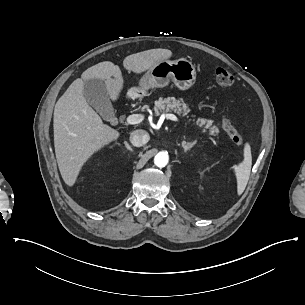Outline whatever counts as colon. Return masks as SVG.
Returning <instances> with one entry per match:
<instances>
[{
  "label": "colon",
  "mask_w": 305,
  "mask_h": 305,
  "mask_svg": "<svg viewBox=\"0 0 305 305\" xmlns=\"http://www.w3.org/2000/svg\"><path fill=\"white\" fill-rule=\"evenodd\" d=\"M216 83L220 87H229L233 83L232 74L224 69L219 68L215 72ZM221 125L225 133L229 136L231 140L236 143H241L245 140V136L242 132H240L231 122V120L227 116H223L221 119Z\"/></svg>",
  "instance_id": "obj_1"
}]
</instances>
